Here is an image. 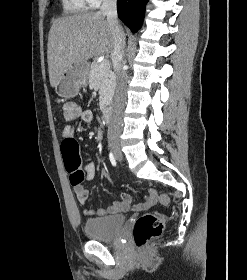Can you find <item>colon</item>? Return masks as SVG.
I'll use <instances>...</instances> for the list:
<instances>
[{
  "label": "colon",
  "mask_w": 247,
  "mask_h": 280,
  "mask_svg": "<svg viewBox=\"0 0 247 280\" xmlns=\"http://www.w3.org/2000/svg\"><path fill=\"white\" fill-rule=\"evenodd\" d=\"M65 118L74 120L80 114L79 106L68 101L63 107ZM64 165L69 173L70 182L74 191H86L88 184L84 181L85 173L81 167V158L79 155V146L76 140H63L61 145ZM157 193V192H156ZM157 198L164 206L169 205V198L166 194L157 193ZM165 228L164 217L160 213H146L140 216L133 227V238L136 246L142 247L150 240L161 236Z\"/></svg>",
  "instance_id": "colon-1"
}]
</instances>
